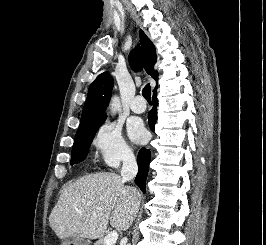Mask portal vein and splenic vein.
I'll list each match as a JSON object with an SVG mask.
<instances>
[{"label": "portal vein and splenic vein", "instance_id": "portal-vein-and-splenic-vein-1", "mask_svg": "<svg viewBox=\"0 0 266 245\" xmlns=\"http://www.w3.org/2000/svg\"><path fill=\"white\" fill-rule=\"evenodd\" d=\"M101 211V209H99ZM118 239V233L116 231H113V233H110V235H106L103 239L104 245H115L116 241Z\"/></svg>", "mask_w": 266, "mask_h": 245}]
</instances>
